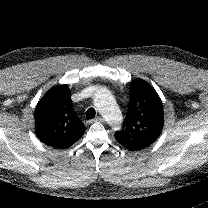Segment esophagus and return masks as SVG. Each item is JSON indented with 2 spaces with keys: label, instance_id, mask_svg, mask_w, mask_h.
I'll return each instance as SVG.
<instances>
[{
  "label": "esophagus",
  "instance_id": "34e87169",
  "mask_svg": "<svg viewBox=\"0 0 208 208\" xmlns=\"http://www.w3.org/2000/svg\"><path fill=\"white\" fill-rule=\"evenodd\" d=\"M94 121L105 122V119L102 118L101 116H97Z\"/></svg>",
  "mask_w": 208,
  "mask_h": 208
}]
</instances>
